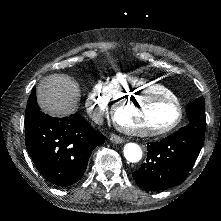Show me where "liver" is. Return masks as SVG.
Instances as JSON below:
<instances>
[{
    "label": "liver",
    "mask_w": 221,
    "mask_h": 221,
    "mask_svg": "<svg viewBox=\"0 0 221 221\" xmlns=\"http://www.w3.org/2000/svg\"><path fill=\"white\" fill-rule=\"evenodd\" d=\"M36 102L41 112L56 118L75 114L80 107L79 84L63 73L48 74L35 87Z\"/></svg>",
    "instance_id": "1"
}]
</instances>
